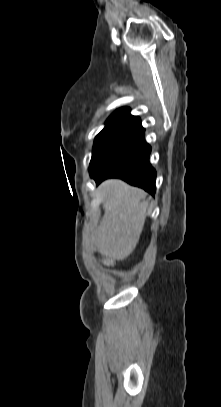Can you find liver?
Listing matches in <instances>:
<instances>
[{"label":"liver","mask_w":221,"mask_h":407,"mask_svg":"<svg viewBox=\"0 0 221 407\" xmlns=\"http://www.w3.org/2000/svg\"><path fill=\"white\" fill-rule=\"evenodd\" d=\"M104 216L92 234L99 252L111 260L126 259L136 248L142 233L148 202L146 193L119 179H108L98 188Z\"/></svg>","instance_id":"obj_1"}]
</instances>
